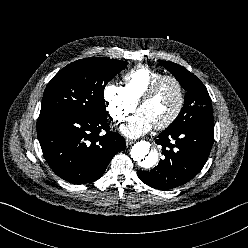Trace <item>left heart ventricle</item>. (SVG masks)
Listing matches in <instances>:
<instances>
[{
    "label": "left heart ventricle",
    "mask_w": 248,
    "mask_h": 248,
    "mask_svg": "<svg viewBox=\"0 0 248 248\" xmlns=\"http://www.w3.org/2000/svg\"><path fill=\"white\" fill-rule=\"evenodd\" d=\"M179 94L174 82L165 81L155 95L141 105L139 111L144 112L153 125L166 120L178 105Z\"/></svg>",
    "instance_id": "left-heart-ventricle-1"
}]
</instances>
